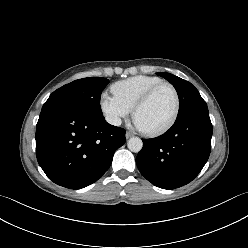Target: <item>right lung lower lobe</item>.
Here are the masks:
<instances>
[{
	"mask_svg": "<svg viewBox=\"0 0 248 248\" xmlns=\"http://www.w3.org/2000/svg\"><path fill=\"white\" fill-rule=\"evenodd\" d=\"M125 130L103 115L59 105L42 109L36 126V156L54 183L80 189L97 181L125 141Z\"/></svg>",
	"mask_w": 248,
	"mask_h": 248,
	"instance_id": "right-lung-lower-lobe-1",
	"label": "right lung lower lobe"
}]
</instances>
